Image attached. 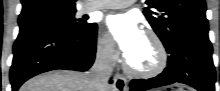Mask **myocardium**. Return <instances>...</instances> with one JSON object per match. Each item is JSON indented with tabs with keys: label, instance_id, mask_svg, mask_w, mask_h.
Returning <instances> with one entry per match:
<instances>
[{
	"label": "myocardium",
	"instance_id": "obj_1",
	"mask_svg": "<svg viewBox=\"0 0 220 91\" xmlns=\"http://www.w3.org/2000/svg\"><path fill=\"white\" fill-rule=\"evenodd\" d=\"M144 35L153 42L157 56L156 63L150 69H136L129 64L125 57L123 60V67L124 70L131 76L138 78H152L161 74L167 67L168 53L164 42L155 31L146 30Z\"/></svg>",
	"mask_w": 220,
	"mask_h": 91
}]
</instances>
